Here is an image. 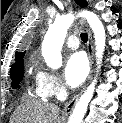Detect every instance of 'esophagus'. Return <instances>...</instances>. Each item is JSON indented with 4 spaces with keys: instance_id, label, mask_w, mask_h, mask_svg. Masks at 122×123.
<instances>
[{
    "instance_id": "obj_1",
    "label": "esophagus",
    "mask_w": 122,
    "mask_h": 123,
    "mask_svg": "<svg viewBox=\"0 0 122 123\" xmlns=\"http://www.w3.org/2000/svg\"><path fill=\"white\" fill-rule=\"evenodd\" d=\"M80 24L86 29L88 33V44H87V50H88V57L90 61V72L87 78V81L85 85L83 86L82 90L76 94L64 107L63 114H69L72 112L74 105L76 104L77 100L79 99L80 94L84 91L86 85L88 84L89 80L91 79L92 72H93V54H94V44H93V37L91 30L87 23L84 20H80Z\"/></svg>"
}]
</instances>
